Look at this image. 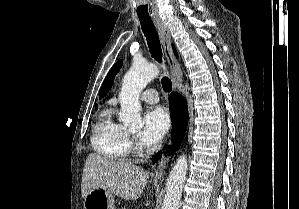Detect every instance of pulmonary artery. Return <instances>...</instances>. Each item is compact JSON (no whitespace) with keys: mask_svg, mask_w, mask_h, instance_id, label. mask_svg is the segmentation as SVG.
I'll return each mask as SVG.
<instances>
[{"mask_svg":"<svg viewBox=\"0 0 299 209\" xmlns=\"http://www.w3.org/2000/svg\"><path fill=\"white\" fill-rule=\"evenodd\" d=\"M140 99L149 104H155L159 101L156 90L152 88L144 90L140 95Z\"/></svg>","mask_w":299,"mask_h":209,"instance_id":"pulmonary-artery-1","label":"pulmonary artery"}]
</instances>
